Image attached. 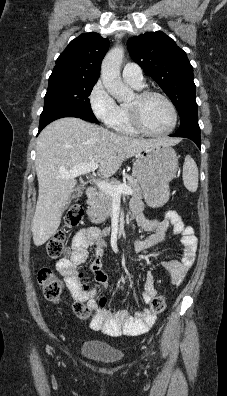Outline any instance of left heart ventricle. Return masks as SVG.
<instances>
[{"mask_svg": "<svg viewBox=\"0 0 227 396\" xmlns=\"http://www.w3.org/2000/svg\"><path fill=\"white\" fill-rule=\"evenodd\" d=\"M138 104L141 120L150 131L162 132L172 123L171 111L166 102L158 96H149L138 102L136 96L129 105Z\"/></svg>", "mask_w": 227, "mask_h": 396, "instance_id": "left-heart-ventricle-1", "label": "left heart ventricle"}]
</instances>
